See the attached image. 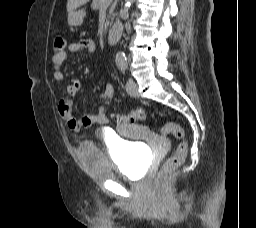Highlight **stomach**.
I'll return each mask as SVG.
<instances>
[{"label":"stomach","mask_w":256,"mask_h":228,"mask_svg":"<svg viewBox=\"0 0 256 228\" xmlns=\"http://www.w3.org/2000/svg\"><path fill=\"white\" fill-rule=\"evenodd\" d=\"M86 11L84 9H74L68 13V24L70 26H80L83 23Z\"/></svg>","instance_id":"stomach-1"}]
</instances>
